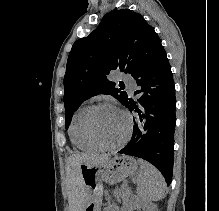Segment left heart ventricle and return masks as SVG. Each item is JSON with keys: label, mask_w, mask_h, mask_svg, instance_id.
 Listing matches in <instances>:
<instances>
[{"label": "left heart ventricle", "mask_w": 219, "mask_h": 211, "mask_svg": "<svg viewBox=\"0 0 219 211\" xmlns=\"http://www.w3.org/2000/svg\"><path fill=\"white\" fill-rule=\"evenodd\" d=\"M92 127L101 141L109 144L118 142L127 127L125 118L115 109L102 107L93 116Z\"/></svg>", "instance_id": "1"}]
</instances>
